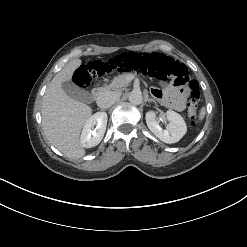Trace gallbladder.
<instances>
[{
  "mask_svg": "<svg viewBox=\"0 0 247 247\" xmlns=\"http://www.w3.org/2000/svg\"><path fill=\"white\" fill-rule=\"evenodd\" d=\"M62 88L70 98L76 101L83 103H90L92 101V95L88 91L79 88L70 81L62 83Z\"/></svg>",
  "mask_w": 247,
  "mask_h": 247,
  "instance_id": "bac80fb5",
  "label": "gallbladder"
}]
</instances>
